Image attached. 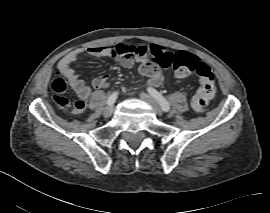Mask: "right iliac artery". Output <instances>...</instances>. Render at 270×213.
<instances>
[{"instance_id":"right-iliac-artery-1","label":"right iliac artery","mask_w":270,"mask_h":213,"mask_svg":"<svg viewBox=\"0 0 270 213\" xmlns=\"http://www.w3.org/2000/svg\"><path fill=\"white\" fill-rule=\"evenodd\" d=\"M117 96H118V93H117V92L112 93V94L109 96L108 100H107V104H108L109 106H112V105L115 103V101H116V99H117Z\"/></svg>"}]
</instances>
